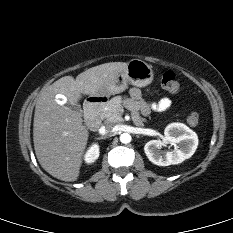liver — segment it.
Here are the masks:
<instances>
[{
    "instance_id": "obj_1",
    "label": "liver",
    "mask_w": 233,
    "mask_h": 233,
    "mask_svg": "<svg viewBox=\"0 0 233 233\" xmlns=\"http://www.w3.org/2000/svg\"><path fill=\"white\" fill-rule=\"evenodd\" d=\"M126 67L125 62L101 64L80 73L76 79L64 76L40 91L33 142L38 162L50 175L66 182L78 179L89 132L81 115L71 106L78 105L82 95L103 91ZM56 94L65 95L68 105L58 104Z\"/></svg>"
}]
</instances>
